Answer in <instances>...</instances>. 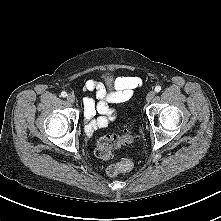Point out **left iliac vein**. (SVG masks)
Masks as SVG:
<instances>
[{
    "instance_id": "1",
    "label": "left iliac vein",
    "mask_w": 221,
    "mask_h": 221,
    "mask_svg": "<svg viewBox=\"0 0 221 221\" xmlns=\"http://www.w3.org/2000/svg\"><path fill=\"white\" fill-rule=\"evenodd\" d=\"M154 97H155V91H153V90L149 91L147 96H146L147 102L152 101Z\"/></svg>"
}]
</instances>
